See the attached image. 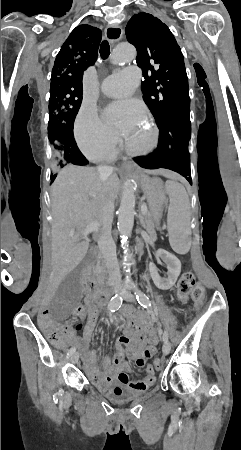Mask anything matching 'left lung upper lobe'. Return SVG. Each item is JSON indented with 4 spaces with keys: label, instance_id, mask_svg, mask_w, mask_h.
<instances>
[{
    "label": "left lung upper lobe",
    "instance_id": "1",
    "mask_svg": "<svg viewBox=\"0 0 241 450\" xmlns=\"http://www.w3.org/2000/svg\"><path fill=\"white\" fill-rule=\"evenodd\" d=\"M125 32L127 40L137 49L136 61L145 79L141 85L143 99L156 122L177 107L189 105L183 54L169 28L153 15L142 12L132 16ZM154 64L159 68L155 69Z\"/></svg>",
    "mask_w": 241,
    "mask_h": 450
}]
</instances>
